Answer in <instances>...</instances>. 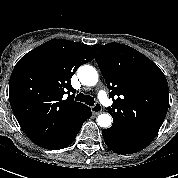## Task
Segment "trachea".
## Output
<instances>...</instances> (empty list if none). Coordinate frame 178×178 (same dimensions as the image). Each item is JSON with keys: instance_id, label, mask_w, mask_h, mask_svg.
I'll use <instances>...</instances> for the list:
<instances>
[{"instance_id": "trachea-1", "label": "trachea", "mask_w": 178, "mask_h": 178, "mask_svg": "<svg viewBox=\"0 0 178 178\" xmlns=\"http://www.w3.org/2000/svg\"><path fill=\"white\" fill-rule=\"evenodd\" d=\"M75 100L80 101V102H85L89 106L94 105V98L91 97L90 95H84L83 93L77 94V96L75 97Z\"/></svg>"}]
</instances>
